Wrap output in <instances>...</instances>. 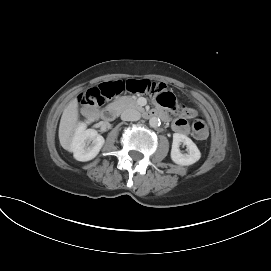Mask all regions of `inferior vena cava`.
<instances>
[{
    "instance_id": "1",
    "label": "inferior vena cava",
    "mask_w": 271,
    "mask_h": 271,
    "mask_svg": "<svg viewBox=\"0 0 271 271\" xmlns=\"http://www.w3.org/2000/svg\"><path fill=\"white\" fill-rule=\"evenodd\" d=\"M141 117L139 111L134 108H128L124 110L121 114V119L123 121H137Z\"/></svg>"
}]
</instances>
